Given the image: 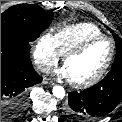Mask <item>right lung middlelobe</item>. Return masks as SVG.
<instances>
[{
    "instance_id": "right-lung-middle-lobe-1",
    "label": "right lung middle lobe",
    "mask_w": 122,
    "mask_h": 122,
    "mask_svg": "<svg viewBox=\"0 0 122 122\" xmlns=\"http://www.w3.org/2000/svg\"><path fill=\"white\" fill-rule=\"evenodd\" d=\"M52 19V11L30 4L15 5L1 14V33L16 34L31 42L48 28Z\"/></svg>"
}]
</instances>
